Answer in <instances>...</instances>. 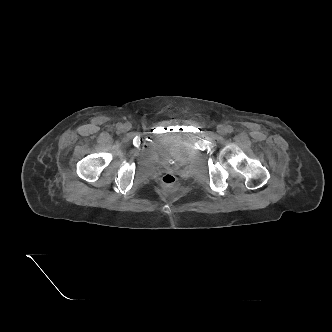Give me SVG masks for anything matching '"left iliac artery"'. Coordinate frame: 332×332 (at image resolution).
Masks as SVG:
<instances>
[{
	"label": "left iliac artery",
	"instance_id": "left-iliac-artery-1",
	"mask_svg": "<svg viewBox=\"0 0 332 332\" xmlns=\"http://www.w3.org/2000/svg\"><path fill=\"white\" fill-rule=\"evenodd\" d=\"M227 132L232 133L233 132V127L232 126H227Z\"/></svg>",
	"mask_w": 332,
	"mask_h": 332
}]
</instances>
